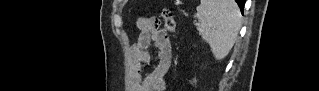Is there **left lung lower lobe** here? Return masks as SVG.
Wrapping results in <instances>:
<instances>
[{"label": "left lung lower lobe", "instance_id": "obj_1", "mask_svg": "<svg viewBox=\"0 0 319 91\" xmlns=\"http://www.w3.org/2000/svg\"><path fill=\"white\" fill-rule=\"evenodd\" d=\"M235 1L238 3V5H239V7H240V10H241V12L243 13V8H244L245 0H235Z\"/></svg>", "mask_w": 319, "mask_h": 91}]
</instances>
